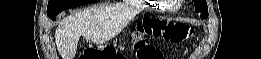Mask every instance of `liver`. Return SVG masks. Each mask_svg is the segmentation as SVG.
Returning a JSON list of instances; mask_svg holds the SVG:
<instances>
[{
    "label": "liver",
    "instance_id": "1",
    "mask_svg": "<svg viewBox=\"0 0 261 59\" xmlns=\"http://www.w3.org/2000/svg\"><path fill=\"white\" fill-rule=\"evenodd\" d=\"M129 18L106 5L77 11L62 19L55 31V42L62 59H74L81 36L103 44L118 35Z\"/></svg>",
    "mask_w": 261,
    "mask_h": 59
}]
</instances>
